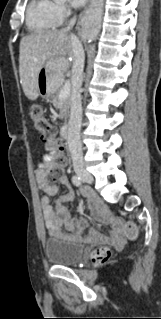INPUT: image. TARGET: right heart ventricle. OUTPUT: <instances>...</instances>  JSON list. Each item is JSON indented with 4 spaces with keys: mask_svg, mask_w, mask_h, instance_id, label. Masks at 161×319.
I'll return each instance as SVG.
<instances>
[{
    "mask_svg": "<svg viewBox=\"0 0 161 319\" xmlns=\"http://www.w3.org/2000/svg\"><path fill=\"white\" fill-rule=\"evenodd\" d=\"M26 17L28 28L33 33L46 32L59 25L56 4L50 0H32Z\"/></svg>",
    "mask_w": 161,
    "mask_h": 319,
    "instance_id": "right-heart-ventricle-1",
    "label": "right heart ventricle"
}]
</instances>
